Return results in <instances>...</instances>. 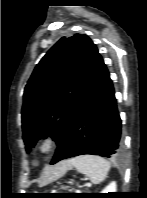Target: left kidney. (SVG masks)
<instances>
[{"mask_svg": "<svg viewBox=\"0 0 147 198\" xmlns=\"http://www.w3.org/2000/svg\"><path fill=\"white\" fill-rule=\"evenodd\" d=\"M117 185L116 182H111L101 193L116 192Z\"/></svg>", "mask_w": 147, "mask_h": 198, "instance_id": "5707ae66", "label": "left kidney"}]
</instances>
